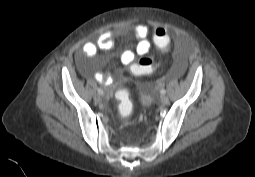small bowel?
<instances>
[{"label":"small bowel","instance_id":"1","mask_svg":"<svg viewBox=\"0 0 255 177\" xmlns=\"http://www.w3.org/2000/svg\"><path fill=\"white\" fill-rule=\"evenodd\" d=\"M137 41L136 52L138 55H145L151 49V41L149 39V28L144 24H139L135 27L131 37H125L124 40ZM117 41L110 31H105L99 35L96 41L87 42L83 45L82 52L86 58H93L98 53V50H110L116 45ZM132 51H124L120 60L123 64L128 65L134 60ZM80 69L85 72L84 65L80 64ZM94 79L104 85H110L113 81L112 75L107 71H97L93 75Z\"/></svg>","mask_w":255,"mask_h":177}]
</instances>
